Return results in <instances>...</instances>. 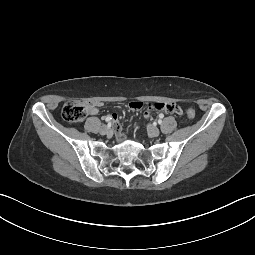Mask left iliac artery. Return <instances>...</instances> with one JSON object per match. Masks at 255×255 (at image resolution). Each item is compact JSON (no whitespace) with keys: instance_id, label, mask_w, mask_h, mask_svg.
I'll return each instance as SVG.
<instances>
[{"instance_id":"1","label":"left iliac artery","mask_w":255,"mask_h":255,"mask_svg":"<svg viewBox=\"0 0 255 255\" xmlns=\"http://www.w3.org/2000/svg\"><path fill=\"white\" fill-rule=\"evenodd\" d=\"M161 119V118H160ZM159 124H161V120H159Z\"/></svg>"}]
</instances>
